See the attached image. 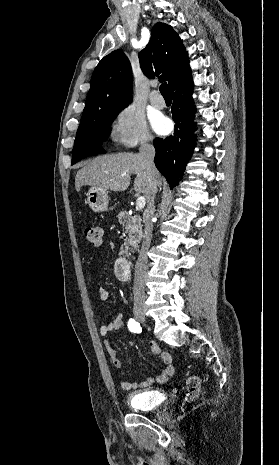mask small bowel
<instances>
[{
    "label": "small bowel",
    "instance_id": "1",
    "mask_svg": "<svg viewBox=\"0 0 279 465\" xmlns=\"http://www.w3.org/2000/svg\"><path fill=\"white\" fill-rule=\"evenodd\" d=\"M110 247L114 249V244L110 243ZM97 297L101 301L108 300V290L105 287H99L97 289ZM122 326L123 315L117 314L115 317L112 318L110 322L105 323L100 327V333L102 336H108L109 334L119 330ZM148 346L153 354L160 355L161 360L166 364V369L158 377H150L140 383L132 382L129 380H123L121 382V388L123 390L129 391L137 388H146L156 383H164L174 373L171 355L167 352H162L158 344L153 340L148 341ZM105 348L109 355L112 365L115 368L120 369L122 367L121 360L119 359L116 350L112 347L111 343L108 340H105Z\"/></svg>",
    "mask_w": 279,
    "mask_h": 465
}]
</instances>
